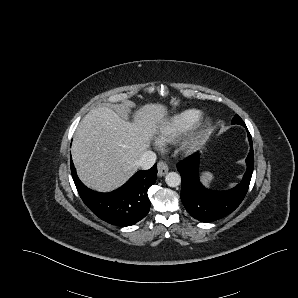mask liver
<instances>
[{
    "instance_id": "6515ba94",
    "label": "liver",
    "mask_w": 298,
    "mask_h": 298,
    "mask_svg": "<svg viewBox=\"0 0 298 298\" xmlns=\"http://www.w3.org/2000/svg\"><path fill=\"white\" fill-rule=\"evenodd\" d=\"M169 121L170 107L160 101L140 104L128 119L105 106L89 111L71 144L78 178L98 193L121 188L140 170L136 162Z\"/></svg>"
}]
</instances>
